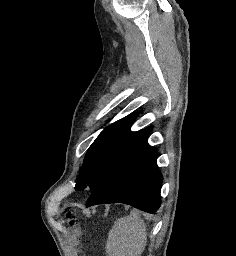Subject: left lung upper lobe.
Here are the masks:
<instances>
[{"instance_id":"5c2ea615","label":"left lung upper lobe","mask_w":236,"mask_h":256,"mask_svg":"<svg viewBox=\"0 0 236 256\" xmlns=\"http://www.w3.org/2000/svg\"><path fill=\"white\" fill-rule=\"evenodd\" d=\"M136 114L129 115L107 126L91 144L75 189L94 190L111 172L121 154L137 134L130 131Z\"/></svg>"}]
</instances>
